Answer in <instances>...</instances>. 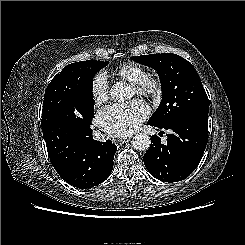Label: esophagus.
I'll return each mask as SVG.
<instances>
[{
  "instance_id": "34e87169",
  "label": "esophagus",
  "mask_w": 245,
  "mask_h": 245,
  "mask_svg": "<svg viewBox=\"0 0 245 245\" xmlns=\"http://www.w3.org/2000/svg\"><path fill=\"white\" fill-rule=\"evenodd\" d=\"M130 138H131V136H128L127 138H126V140L128 141V140H130ZM125 142V139H120V140H117V143H124Z\"/></svg>"
}]
</instances>
